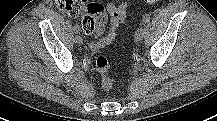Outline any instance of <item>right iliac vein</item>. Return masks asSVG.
Segmentation results:
<instances>
[{
    "mask_svg": "<svg viewBox=\"0 0 217 121\" xmlns=\"http://www.w3.org/2000/svg\"><path fill=\"white\" fill-rule=\"evenodd\" d=\"M75 42L81 45V44H83V39L77 35V36H75Z\"/></svg>",
    "mask_w": 217,
    "mask_h": 121,
    "instance_id": "1",
    "label": "right iliac vein"
}]
</instances>
